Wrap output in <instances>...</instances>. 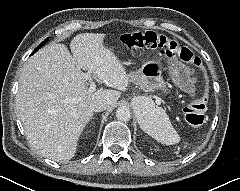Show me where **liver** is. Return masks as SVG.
Listing matches in <instances>:
<instances>
[{
  "label": "liver",
  "instance_id": "6515ba94",
  "mask_svg": "<svg viewBox=\"0 0 240 191\" xmlns=\"http://www.w3.org/2000/svg\"><path fill=\"white\" fill-rule=\"evenodd\" d=\"M105 34L82 33L67 47L51 43L25 63L16 95V112L32 147L42 156L68 162L76 153L79 137L92 119V107L105 102L116 105L120 91L129 84L117 57L103 46ZM117 89L88 92L84 73ZM66 99H76L65 103Z\"/></svg>",
  "mask_w": 240,
  "mask_h": 191
}]
</instances>
